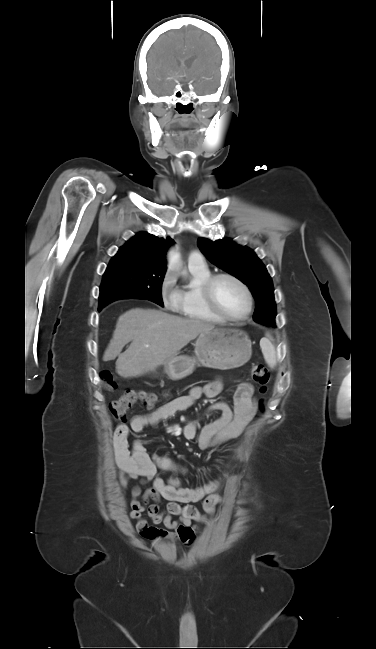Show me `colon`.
Wrapping results in <instances>:
<instances>
[{
    "instance_id": "5ec220e1",
    "label": "colon",
    "mask_w": 376,
    "mask_h": 649,
    "mask_svg": "<svg viewBox=\"0 0 376 649\" xmlns=\"http://www.w3.org/2000/svg\"><path fill=\"white\" fill-rule=\"evenodd\" d=\"M251 375L255 383L259 386V392L265 394L267 392L270 378L268 368L263 364H255L251 368ZM102 379L107 388H116L117 382L112 372L104 371L102 373ZM155 401L156 397L152 393H146L134 389H125L121 396L111 403L110 413L113 417L120 419L125 417L127 411L137 402L142 403L146 407H151L154 405ZM260 407L263 409L262 402Z\"/></svg>"
}]
</instances>
